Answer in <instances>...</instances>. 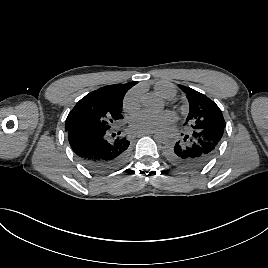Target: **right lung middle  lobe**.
Listing matches in <instances>:
<instances>
[{
    "label": "right lung middle lobe",
    "instance_id": "1",
    "mask_svg": "<svg viewBox=\"0 0 268 268\" xmlns=\"http://www.w3.org/2000/svg\"><path fill=\"white\" fill-rule=\"evenodd\" d=\"M122 101L106 100L98 95L83 97L69 113L65 131L74 128L109 130L123 119Z\"/></svg>",
    "mask_w": 268,
    "mask_h": 268
}]
</instances>
